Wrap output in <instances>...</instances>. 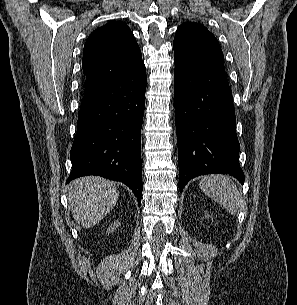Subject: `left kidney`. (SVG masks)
<instances>
[{
  "instance_id": "5707ae66",
  "label": "left kidney",
  "mask_w": 297,
  "mask_h": 305,
  "mask_svg": "<svg viewBox=\"0 0 297 305\" xmlns=\"http://www.w3.org/2000/svg\"><path fill=\"white\" fill-rule=\"evenodd\" d=\"M205 217H206V218H210V214L207 213V211L205 212Z\"/></svg>"
}]
</instances>
